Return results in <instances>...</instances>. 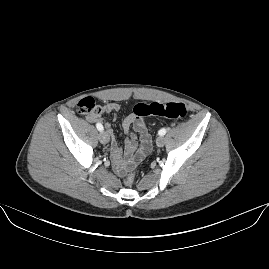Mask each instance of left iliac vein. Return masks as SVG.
I'll use <instances>...</instances> for the list:
<instances>
[{
  "instance_id": "1",
  "label": "left iliac vein",
  "mask_w": 269,
  "mask_h": 269,
  "mask_svg": "<svg viewBox=\"0 0 269 269\" xmlns=\"http://www.w3.org/2000/svg\"><path fill=\"white\" fill-rule=\"evenodd\" d=\"M156 143H157V146H159V147L163 146L164 143H165V139H164V137H163V136H159V137L157 138V140H156Z\"/></svg>"
}]
</instances>
